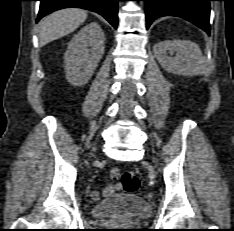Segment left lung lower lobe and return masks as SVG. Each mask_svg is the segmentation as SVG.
I'll return each instance as SVG.
<instances>
[{"instance_id":"obj_1","label":"left lung lower lobe","mask_w":234,"mask_h":231,"mask_svg":"<svg viewBox=\"0 0 234 231\" xmlns=\"http://www.w3.org/2000/svg\"><path fill=\"white\" fill-rule=\"evenodd\" d=\"M146 3V28L161 16H178L197 25L210 35L209 16L212 0H140Z\"/></svg>"}]
</instances>
